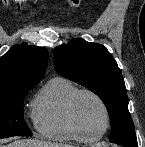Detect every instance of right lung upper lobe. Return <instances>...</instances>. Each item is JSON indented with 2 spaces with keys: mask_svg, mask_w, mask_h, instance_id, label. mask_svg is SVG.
<instances>
[{
  "mask_svg": "<svg viewBox=\"0 0 145 147\" xmlns=\"http://www.w3.org/2000/svg\"><path fill=\"white\" fill-rule=\"evenodd\" d=\"M47 59L46 48L14 45L0 57V91L36 86L45 73Z\"/></svg>",
  "mask_w": 145,
  "mask_h": 147,
  "instance_id": "1",
  "label": "right lung upper lobe"
}]
</instances>
